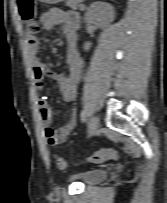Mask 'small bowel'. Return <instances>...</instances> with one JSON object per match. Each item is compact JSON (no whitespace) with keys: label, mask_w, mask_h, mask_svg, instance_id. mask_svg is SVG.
Here are the masks:
<instances>
[{"label":"small bowel","mask_w":167,"mask_h":203,"mask_svg":"<svg viewBox=\"0 0 167 203\" xmlns=\"http://www.w3.org/2000/svg\"><path fill=\"white\" fill-rule=\"evenodd\" d=\"M44 29L49 30L61 26L67 38L66 61L68 71L65 74L56 75L39 58L42 39L32 37L27 39V49L33 66L34 83L37 90L44 88L46 78L57 81L65 102L74 104L77 98V87L83 72V61L77 49V33L80 25V17L72 11H64L59 8L50 9L41 17ZM38 108L41 122L44 126L43 135L47 143L56 146L67 140L76 126V115L71 112L68 120L58 129L50 126L53 110L43 97L38 99Z\"/></svg>","instance_id":"obj_1"}]
</instances>
